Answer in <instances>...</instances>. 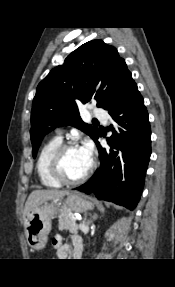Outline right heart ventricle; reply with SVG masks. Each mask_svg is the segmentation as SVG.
Listing matches in <instances>:
<instances>
[{
  "label": "right heart ventricle",
  "instance_id": "right-heart-ventricle-1",
  "mask_svg": "<svg viewBox=\"0 0 175 287\" xmlns=\"http://www.w3.org/2000/svg\"><path fill=\"white\" fill-rule=\"evenodd\" d=\"M61 143L60 137H53L42 145L38 153L36 172L41 184L48 188H60L62 186V183L51 175L49 168L51 156Z\"/></svg>",
  "mask_w": 175,
  "mask_h": 287
}]
</instances>
